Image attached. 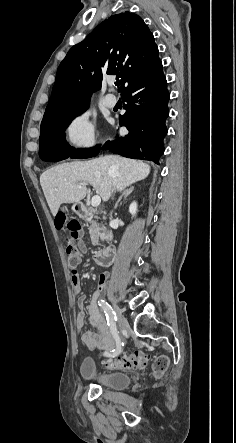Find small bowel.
<instances>
[{
	"label": "small bowel",
	"instance_id": "c3829d8e",
	"mask_svg": "<svg viewBox=\"0 0 236 443\" xmlns=\"http://www.w3.org/2000/svg\"><path fill=\"white\" fill-rule=\"evenodd\" d=\"M78 247L82 252L87 251V247L83 242H80L78 244ZM107 279H108V274L106 272L100 274L96 290L93 294L94 301H96L102 295V293L106 291ZM72 282L75 293L80 294L82 291V285L76 270L72 271ZM85 300H86L85 297L81 296L78 301L80 311L76 317V325L81 330L84 328L83 309H84ZM86 312L89 316L90 326L93 329V331L85 330L81 333L82 343L90 349L109 350L114 348L116 345V340L113 337L110 327L107 324V321L105 320L101 312L99 311L96 303L92 302L91 304H89L86 307Z\"/></svg>",
	"mask_w": 236,
	"mask_h": 443
}]
</instances>
